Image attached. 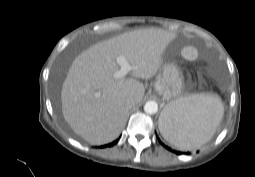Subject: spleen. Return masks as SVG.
Instances as JSON below:
<instances>
[{"instance_id":"1","label":"spleen","mask_w":255,"mask_h":177,"mask_svg":"<svg viewBox=\"0 0 255 177\" xmlns=\"http://www.w3.org/2000/svg\"><path fill=\"white\" fill-rule=\"evenodd\" d=\"M169 118L159 128L176 149L187 151L207 143L219 126L224 106L219 96L193 94L181 97L166 107Z\"/></svg>"}]
</instances>
